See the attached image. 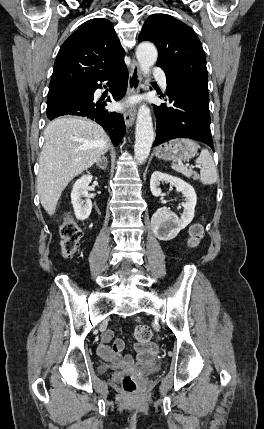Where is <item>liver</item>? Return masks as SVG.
<instances>
[{"instance_id": "1", "label": "liver", "mask_w": 264, "mask_h": 429, "mask_svg": "<svg viewBox=\"0 0 264 429\" xmlns=\"http://www.w3.org/2000/svg\"><path fill=\"white\" fill-rule=\"evenodd\" d=\"M44 137L37 191L43 208L52 216L68 183L107 151L109 137L96 122L69 116L51 121Z\"/></svg>"}]
</instances>
